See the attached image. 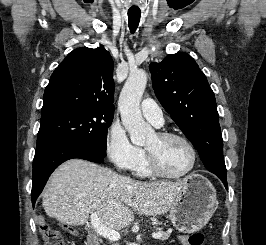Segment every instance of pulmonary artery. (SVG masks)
Segmentation results:
<instances>
[{"mask_svg": "<svg viewBox=\"0 0 266 245\" xmlns=\"http://www.w3.org/2000/svg\"><path fill=\"white\" fill-rule=\"evenodd\" d=\"M153 104V100H142L140 105L141 112L147 120L155 125H160L163 122V113L157 104Z\"/></svg>", "mask_w": 266, "mask_h": 245, "instance_id": "1", "label": "pulmonary artery"}]
</instances>
